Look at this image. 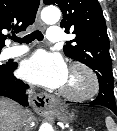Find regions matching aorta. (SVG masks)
Wrapping results in <instances>:
<instances>
[{"label": "aorta", "instance_id": "obj_1", "mask_svg": "<svg viewBox=\"0 0 117 131\" xmlns=\"http://www.w3.org/2000/svg\"><path fill=\"white\" fill-rule=\"evenodd\" d=\"M60 17L61 12L57 7H46L41 12V18L46 23H56L59 21ZM39 131H53V128L49 123H43Z\"/></svg>", "mask_w": 117, "mask_h": 131}]
</instances>
